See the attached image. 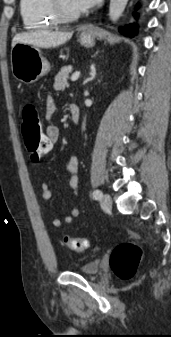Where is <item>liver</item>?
<instances>
[{
    "instance_id": "6515ba94",
    "label": "liver",
    "mask_w": 171,
    "mask_h": 337,
    "mask_svg": "<svg viewBox=\"0 0 171 337\" xmlns=\"http://www.w3.org/2000/svg\"><path fill=\"white\" fill-rule=\"evenodd\" d=\"M72 32H51V31H37L29 33L16 34L12 40V48L17 43L30 44L40 48L57 47L72 37Z\"/></svg>"
}]
</instances>
